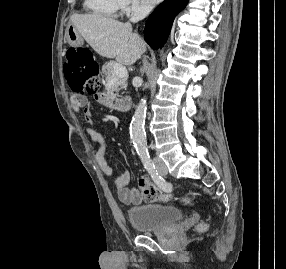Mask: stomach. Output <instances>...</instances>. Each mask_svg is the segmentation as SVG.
Here are the masks:
<instances>
[{"instance_id":"0dacf381","label":"stomach","mask_w":286,"mask_h":269,"mask_svg":"<svg viewBox=\"0 0 286 269\" xmlns=\"http://www.w3.org/2000/svg\"><path fill=\"white\" fill-rule=\"evenodd\" d=\"M65 40L70 46H80L83 44L82 35L71 24H69L65 30Z\"/></svg>"}]
</instances>
